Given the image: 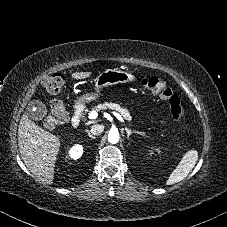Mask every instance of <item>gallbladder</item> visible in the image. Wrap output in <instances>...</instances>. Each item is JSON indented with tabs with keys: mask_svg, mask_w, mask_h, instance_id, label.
Listing matches in <instances>:
<instances>
[{
	"mask_svg": "<svg viewBox=\"0 0 227 227\" xmlns=\"http://www.w3.org/2000/svg\"><path fill=\"white\" fill-rule=\"evenodd\" d=\"M46 112L45 105L39 100L31 101L26 109L27 115L32 119L40 120L46 115Z\"/></svg>",
	"mask_w": 227,
	"mask_h": 227,
	"instance_id": "1",
	"label": "gallbladder"
}]
</instances>
